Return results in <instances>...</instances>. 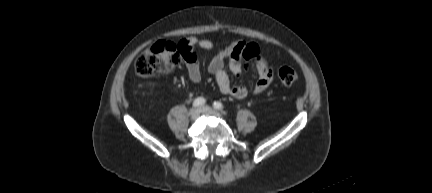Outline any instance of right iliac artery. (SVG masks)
I'll return each instance as SVG.
<instances>
[{
    "mask_svg": "<svg viewBox=\"0 0 432 193\" xmlns=\"http://www.w3.org/2000/svg\"><path fill=\"white\" fill-rule=\"evenodd\" d=\"M206 103V100L203 97H198L193 102V107H200Z\"/></svg>",
    "mask_w": 432,
    "mask_h": 193,
    "instance_id": "1",
    "label": "right iliac artery"
}]
</instances>
